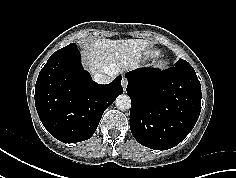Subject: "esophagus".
I'll use <instances>...</instances> for the list:
<instances>
[{"label":"esophagus","instance_id":"34e87169","mask_svg":"<svg viewBox=\"0 0 236 178\" xmlns=\"http://www.w3.org/2000/svg\"><path fill=\"white\" fill-rule=\"evenodd\" d=\"M121 85L123 87L124 92H126V88L128 85V80L126 78H122Z\"/></svg>","mask_w":236,"mask_h":178}]
</instances>
